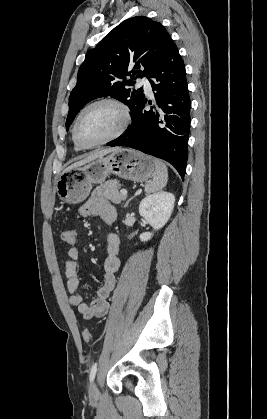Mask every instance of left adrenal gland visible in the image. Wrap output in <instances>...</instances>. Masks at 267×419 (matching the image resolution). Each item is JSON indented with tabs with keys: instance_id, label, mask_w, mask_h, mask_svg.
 Segmentation results:
<instances>
[{
	"instance_id": "obj_1",
	"label": "left adrenal gland",
	"mask_w": 267,
	"mask_h": 419,
	"mask_svg": "<svg viewBox=\"0 0 267 419\" xmlns=\"http://www.w3.org/2000/svg\"><path fill=\"white\" fill-rule=\"evenodd\" d=\"M133 198H130L127 202H126V204L124 205V207H127L128 206V204H129V202L132 200Z\"/></svg>"
}]
</instances>
